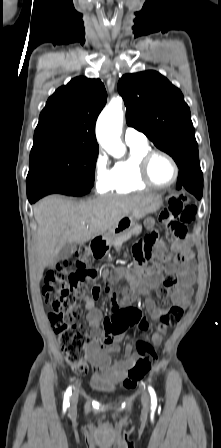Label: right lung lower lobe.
I'll return each mask as SVG.
<instances>
[{
    "label": "right lung lower lobe",
    "instance_id": "98d812e1",
    "mask_svg": "<svg viewBox=\"0 0 221 448\" xmlns=\"http://www.w3.org/2000/svg\"><path fill=\"white\" fill-rule=\"evenodd\" d=\"M90 190L91 188H71L51 180H37L27 183V197L30 204H33L40 198L52 193L82 196L89 193Z\"/></svg>",
    "mask_w": 221,
    "mask_h": 448
}]
</instances>
